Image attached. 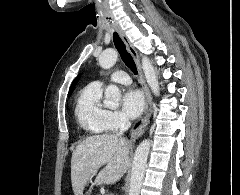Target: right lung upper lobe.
Wrapping results in <instances>:
<instances>
[{
    "label": "right lung upper lobe",
    "instance_id": "cb5924a9",
    "mask_svg": "<svg viewBox=\"0 0 240 195\" xmlns=\"http://www.w3.org/2000/svg\"><path fill=\"white\" fill-rule=\"evenodd\" d=\"M78 80H79V76L73 81V83H72V85H71V89H70V91H69V95H71L72 90H73V88L75 87V85H76V83L78 82Z\"/></svg>",
    "mask_w": 240,
    "mask_h": 195
}]
</instances>
